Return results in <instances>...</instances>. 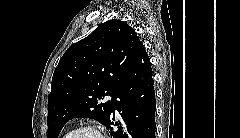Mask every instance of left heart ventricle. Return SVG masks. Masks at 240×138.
<instances>
[{
	"instance_id": "obj_1",
	"label": "left heart ventricle",
	"mask_w": 240,
	"mask_h": 138,
	"mask_svg": "<svg viewBox=\"0 0 240 138\" xmlns=\"http://www.w3.org/2000/svg\"><path fill=\"white\" fill-rule=\"evenodd\" d=\"M77 138H98L97 134L91 131H84L80 133Z\"/></svg>"
}]
</instances>
